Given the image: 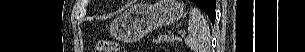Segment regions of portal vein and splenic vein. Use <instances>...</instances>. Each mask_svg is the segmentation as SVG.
<instances>
[{
    "label": "portal vein and splenic vein",
    "mask_w": 305,
    "mask_h": 52,
    "mask_svg": "<svg viewBox=\"0 0 305 52\" xmlns=\"http://www.w3.org/2000/svg\"><path fill=\"white\" fill-rule=\"evenodd\" d=\"M178 34H181V35H186V31L185 30H180V31H178Z\"/></svg>",
    "instance_id": "1"
}]
</instances>
